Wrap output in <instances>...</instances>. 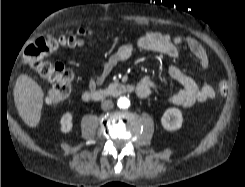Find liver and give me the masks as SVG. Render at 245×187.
Returning a JSON list of instances; mask_svg holds the SVG:
<instances>
[{"mask_svg": "<svg viewBox=\"0 0 245 187\" xmlns=\"http://www.w3.org/2000/svg\"><path fill=\"white\" fill-rule=\"evenodd\" d=\"M14 101L19 116L29 127H36L41 119L44 92L40 85L26 74H21L14 87Z\"/></svg>", "mask_w": 245, "mask_h": 187, "instance_id": "6515ba94", "label": "liver"}]
</instances>
